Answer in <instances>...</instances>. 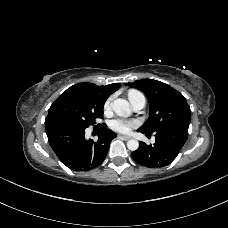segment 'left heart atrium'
<instances>
[{
  "label": "left heart atrium",
  "mask_w": 228,
  "mask_h": 228,
  "mask_svg": "<svg viewBox=\"0 0 228 228\" xmlns=\"http://www.w3.org/2000/svg\"><path fill=\"white\" fill-rule=\"evenodd\" d=\"M136 125L135 121H130L126 119H114L110 123V127L118 132H128L133 126Z\"/></svg>",
  "instance_id": "39dd6f15"
}]
</instances>
